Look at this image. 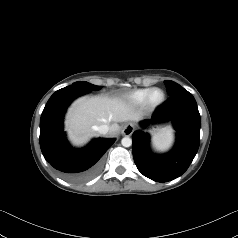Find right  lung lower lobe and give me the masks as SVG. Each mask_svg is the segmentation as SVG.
<instances>
[{
  "label": "right lung lower lobe",
  "mask_w": 238,
  "mask_h": 238,
  "mask_svg": "<svg viewBox=\"0 0 238 238\" xmlns=\"http://www.w3.org/2000/svg\"><path fill=\"white\" fill-rule=\"evenodd\" d=\"M73 84L56 91L48 100L40 119V147L44 158L71 182H84L99 170L104 153L115 139H96L83 149L72 148L63 132V116L67 106L86 94Z\"/></svg>",
  "instance_id": "98d812e1"
}]
</instances>
